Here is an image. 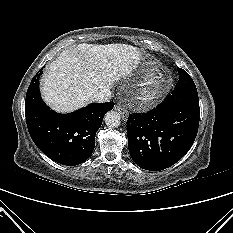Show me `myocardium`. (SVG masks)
Here are the masks:
<instances>
[{"mask_svg": "<svg viewBox=\"0 0 233 233\" xmlns=\"http://www.w3.org/2000/svg\"><path fill=\"white\" fill-rule=\"evenodd\" d=\"M165 87V79L160 74L151 75L142 87V101L145 104L156 102L163 94Z\"/></svg>", "mask_w": 233, "mask_h": 233, "instance_id": "myocardium-1", "label": "myocardium"}]
</instances>
